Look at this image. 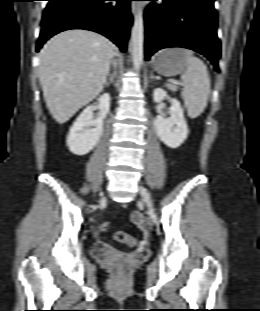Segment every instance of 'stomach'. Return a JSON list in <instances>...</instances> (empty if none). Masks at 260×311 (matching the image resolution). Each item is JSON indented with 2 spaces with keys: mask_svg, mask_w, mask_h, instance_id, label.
Instances as JSON below:
<instances>
[{
  "mask_svg": "<svg viewBox=\"0 0 260 311\" xmlns=\"http://www.w3.org/2000/svg\"><path fill=\"white\" fill-rule=\"evenodd\" d=\"M152 67L158 74L166 77L182 73L188 67L185 50L168 48L159 51L152 59Z\"/></svg>",
  "mask_w": 260,
  "mask_h": 311,
  "instance_id": "obj_1",
  "label": "stomach"
}]
</instances>
